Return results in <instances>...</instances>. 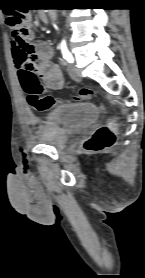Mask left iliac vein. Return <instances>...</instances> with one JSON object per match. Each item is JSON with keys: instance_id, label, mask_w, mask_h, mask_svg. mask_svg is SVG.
<instances>
[{"instance_id": "obj_1", "label": "left iliac vein", "mask_w": 145, "mask_h": 278, "mask_svg": "<svg viewBox=\"0 0 145 278\" xmlns=\"http://www.w3.org/2000/svg\"><path fill=\"white\" fill-rule=\"evenodd\" d=\"M67 70L72 79H74L76 81H79L81 79L79 69L76 66H74L73 64H68Z\"/></svg>"}]
</instances>
